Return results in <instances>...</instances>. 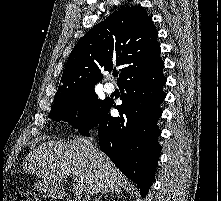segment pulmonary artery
I'll use <instances>...</instances> for the list:
<instances>
[{
  "label": "pulmonary artery",
  "instance_id": "obj_1",
  "mask_svg": "<svg viewBox=\"0 0 221 201\" xmlns=\"http://www.w3.org/2000/svg\"><path fill=\"white\" fill-rule=\"evenodd\" d=\"M115 87L112 83H105L104 85V90L107 92V93H112L114 91Z\"/></svg>",
  "mask_w": 221,
  "mask_h": 201
}]
</instances>
